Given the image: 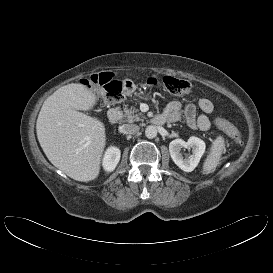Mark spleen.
Returning <instances> with one entry per match:
<instances>
[{
	"label": "spleen",
	"instance_id": "1",
	"mask_svg": "<svg viewBox=\"0 0 273 273\" xmlns=\"http://www.w3.org/2000/svg\"><path fill=\"white\" fill-rule=\"evenodd\" d=\"M224 148H225L224 138L222 136H218L213 141L212 146L210 148V152L203 163L202 169L203 174H209L215 170V168L218 166L221 160V155Z\"/></svg>",
	"mask_w": 273,
	"mask_h": 273
}]
</instances>
